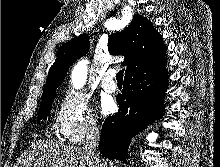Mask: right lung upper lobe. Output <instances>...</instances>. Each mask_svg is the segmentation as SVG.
Here are the masks:
<instances>
[{
  "label": "right lung upper lobe",
  "instance_id": "1",
  "mask_svg": "<svg viewBox=\"0 0 220 167\" xmlns=\"http://www.w3.org/2000/svg\"><path fill=\"white\" fill-rule=\"evenodd\" d=\"M89 50V37L82 34L74 37L59 48L57 58L50 67L42 94L46 99L56 94V88L64 80L70 65ZM108 50L112 55H124L122 65L127 66L125 76L137 70L153 67L165 62L166 47L162 36L146 18L139 14L123 31L111 34Z\"/></svg>",
  "mask_w": 220,
  "mask_h": 167
}]
</instances>
